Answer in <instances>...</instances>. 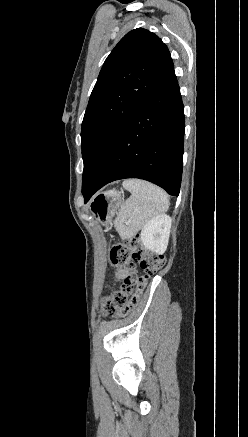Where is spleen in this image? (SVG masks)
<instances>
[{
    "instance_id": "3e777b00",
    "label": "spleen",
    "mask_w": 248,
    "mask_h": 437,
    "mask_svg": "<svg viewBox=\"0 0 248 437\" xmlns=\"http://www.w3.org/2000/svg\"><path fill=\"white\" fill-rule=\"evenodd\" d=\"M123 187L131 196L120 206L114 227L125 240L133 237L152 218L165 213L169 198L163 189L144 180L128 179Z\"/></svg>"
}]
</instances>
